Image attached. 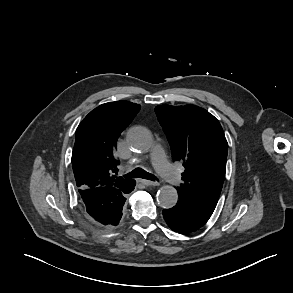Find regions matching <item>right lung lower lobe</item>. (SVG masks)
<instances>
[{
	"instance_id": "obj_1",
	"label": "right lung lower lobe",
	"mask_w": 293,
	"mask_h": 293,
	"mask_svg": "<svg viewBox=\"0 0 293 293\" xmlns=\"http://www.w3.org/2000/svg\"><path fill=\"white\" fill-rule=\"evenodd\" d=\"M135 186L131 180L121 188L97 187L79 189L82 204L87 218L97 226L113 228L117 226L123 215L122 209L126 194Z\"/></svg>"
}]
</instances>
